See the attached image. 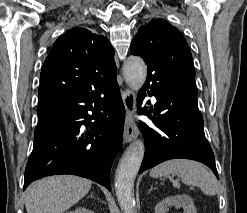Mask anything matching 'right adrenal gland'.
Wrapping results in <instances>:
<instances>
[{
    "label": "right adrenal gland",
    "mask_w": 247,
    "mask_h": 213,
    "mask_svg": "<svg viewBox=\"0 0 247 213\" xmlns=\"http://www.w3.org/2000/svg\"><path fill=\"white\" fill-rule=\"evenodd\" d=\"M90 197H91V198H94V194H93V193H91Z\"/></svg>",
    "instance_id": "obj_1"
}]
</instances>
